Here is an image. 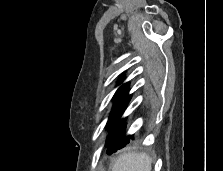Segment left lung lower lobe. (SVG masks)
Instances as JSON below:
<instances>
[{"mask_svg":"<svg viewBox=\"0 0 223 171\" xmlns=\"http://www.w3.org/2000/svg\"><path fill=\"white\" fill-rule=\"evenodd\" d=\"M126 119H123L115 131L112 133L110 138L106 141V146H108L107 153L116 152L118 149H121L129 143L130 139H133V136L125 135V123Z\"/></svg>","mask_w":223,"mask_h":171,"instance_id":"1","label":"left lung lower lobe"}]
</instances>
